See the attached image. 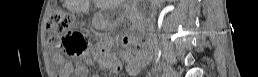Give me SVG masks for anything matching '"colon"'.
Returning a JSON list of instances; mask_svg holds the SVG:
<instances>
[{"mask_svg":"<svg viewBox=\"0 0 258 77\" xmlns=\"http://www.w3.org/2000/svg\"><path fill=\"white\" fill-rule=\"evenodd\" d=\"M48 31L59 38L61 48L67 53H80L87 48V38L84 33L75 29L74 20L59 10H54L47 22ZM148 44L138 40L133 46V53L146 52Z\"/></svg>","mask_w":258,"mask_h":77,"instance_id":"1","label":"colon"}]
</instances>
